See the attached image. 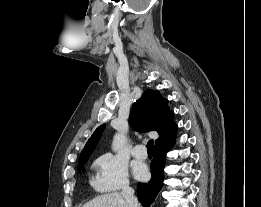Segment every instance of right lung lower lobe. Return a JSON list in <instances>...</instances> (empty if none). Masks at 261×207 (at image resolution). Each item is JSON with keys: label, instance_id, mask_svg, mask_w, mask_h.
<instances>
[{"label": "right lung lower lobe", "instance_id": "98d812e1", "mask_svg": "<svg viewBox=\"0 0 261 207\" xmlns=\"http://www.w3.org/2000/svg\"><path fill=\"white\" fill-rule=\"evenodd\" d=\"M175 139L155 147L154 157L151 161V175L149 182L137 184V197L143 207H150L158 192L161 190L164 181V167L166 163V153L174 145Z\"/></svg>", "mask_w": 261, "mask_h": 207}]
</instances>
